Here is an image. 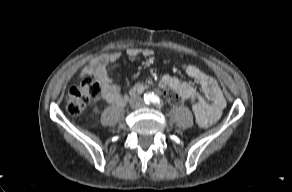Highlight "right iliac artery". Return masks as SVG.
Wrapping results in <instances>:
<instances>
[{
	"instance_id": "obj_1",
	"label": "right iliac artery",
	"mask_w": 292,
	"mask_h": 192,
	"mask_svg": "<svg viewBox=\"0 0 292 192\" xmlns=\"http://www.w3.org/2000/svg\"><path fill=\"white\" fill-rule=\"evenodd\" d=\"M145 101L146 103H150L152 101V96L151 95L146 96Z\"/></svg>"
}]
</instances>
